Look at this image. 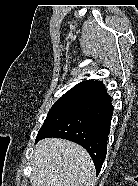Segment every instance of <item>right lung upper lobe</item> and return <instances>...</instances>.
I'll return each mask as SVG.
<instances>
[{
  "instance_id": "right-lung-upper-lobe-1",
  "label": "right lung upper lobe",
  "mask_w": 138,
  "mask_h": 186,
  "mask_svg": "<svg viewBox=\"0 0 138 186\" xmlns=\"http://www.w3.org/2000/svg\"><path fill=\"white\" fill-rule=\"evenodd\" d=\"M74 88L87 89L91 91L105 90V87L100 81L86 80L77 84Z\"/></svg>"
}]
</instances>
